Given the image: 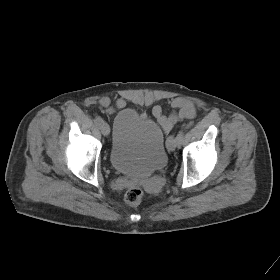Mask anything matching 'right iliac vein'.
<instances>
[{
    "instance_id": "1",
    "label": "right iliac vein",
    "mask_w": 280,
    "mask_h": 280,
    "mask_svg": "<svg viewBox=\"0 0 280 280\" xmlns=\"http://www.w3.org/2000/svg\"><path fill=\"white\" fill-rule=\"evenodd\" d=\"M100 130H101V133L104 135V136H107L109 135L110 133V128H109V125L107 123H102L100 125Z\"/></svg>"
}]
</instances>
